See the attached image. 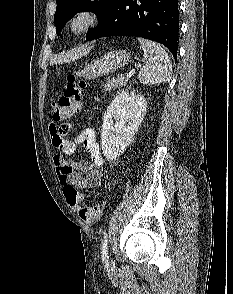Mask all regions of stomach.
Returning <instances> with one entry per match:
<instances>
[{"instance_id": "0dacf381", "label": "stomach", "mask_w": 233, "mask_h": 294, "mask_svg": "<svg viewBox=\"0 0 233 294\" xmlns=\"http://www.w3.org/2000/svg\"><path fill=\"white\" fill-rule=\"evenodd\" d=\"M129 59L130 54L125 50L111 51L86 65L79 72V76L87 80L101 77L122 68Z\"/></svg>"}]
</instances>
